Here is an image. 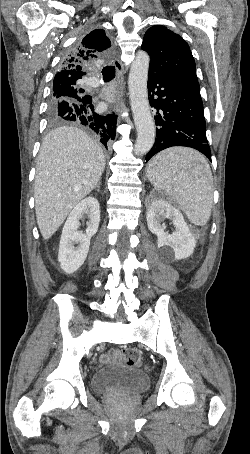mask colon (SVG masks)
<instances>
[{
  "mask_svg": "<svg viewBox=\"0 0 250 454\" xmlns=\"http://www.w3.org/2000/svg\"><path fill=\"white\" fill-rule=\"evenodd\" d=\"M122 358L126 365L139 367L143 362L141 353L134 348H125L122 351Z\"/></svg>",
  "mask_w": 250,
  "mask_h": 454,
  "instance_id": "5ec220e1",
  "label": "colon"
}]
</instances>
